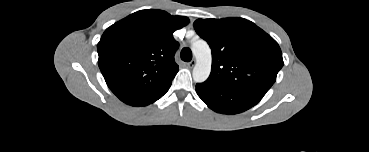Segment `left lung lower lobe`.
I'll return each mask as SVG.
<instances>
[{
  "instance_id": "0a47b994",
  "label": "left lung lower lobe",
  "mask_w": 369,
  "mask_h": 152,
  "mask_svg": "<svg viewBox=\"0 0 369 152\" xmlns=\"http://www.w3.org/2000/svg\"><path fill=\"white\" fill-rule=\"evenodd\" d=\"M196 92L209 108L223 114L246 111L262 99L257 95L229 90L208 81L197 84Z\"/></svg>"
}]
</instances>
